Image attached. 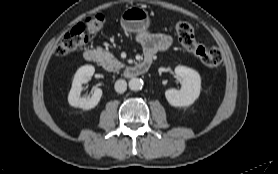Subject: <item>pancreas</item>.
<instances>
[{"label": "pancreas", "instance_id": "1", "mask_svg": "<svg viewBox=\"0 0 278 174\" xmlns=\"http://www.w3.org/2000/svg\"><path fill=\"white\" fill-rule=\"evenodd\" d=\"M100 63L108 71H118L124 67V64L119 62L113 54L107 51L99 50Z\"/></svg>", "mask_w": 278, "mask_h": 174}]
</instances>
